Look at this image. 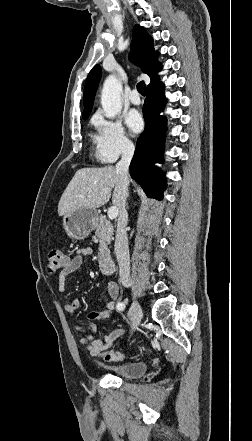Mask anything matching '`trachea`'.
<instances>
[{
	"label": "trachea",
	"mask_w": 252,
	"mask_h": 441,
	"mask_svg": "<svg viewBox=\"0 0 252 441\" xmlns=\"http://www.w3.org/2000/svg\"><path fill=\"white\" fill-rule=\"evenodd\" d=\"M137 90L141 95L145 96L146 86L144 81H141L137 84Z\"/></svg>",
	"instance_id": "obj_1"
}]
</instances>
